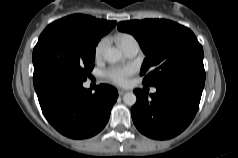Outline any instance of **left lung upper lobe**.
I'll return each instance as SVG.
<instances>
[{"instance_id":"1","label":"left lung upper lobe","mask_w":238,"mask_h":158,"mask_svg":"<svg viewBox=\"0 0 238 158\" xmlns=\"http://www.w3.org/2000/svg\"><path fill=\"white\" fill-rule=\"evenodd\" d=\"M118 29L132 34L147 56L141 68L146 86L189 72H205L203 48L187 27L170 20L145 19L120 22Z\"/></svg>"}]
</instances>
